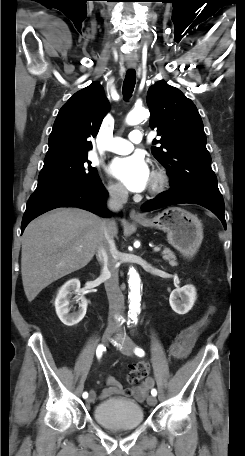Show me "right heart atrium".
<instances>
[{"label": "right heart atrium", "instance_id": "1", "mask_svg": "<svg viewBox=\"0 0 245 456\" xmlns=\"http://www.w3.org/2000/svg\"><path fill=\"white\" fill-rule=\"evenodd\" d=\"M107 191L112 198L122 199L125 196L124 188L117 183H109L107 186Z\"/></svg>", "mask_w": 245, "mask_h": 456}]
</instances>
